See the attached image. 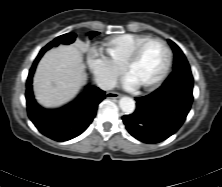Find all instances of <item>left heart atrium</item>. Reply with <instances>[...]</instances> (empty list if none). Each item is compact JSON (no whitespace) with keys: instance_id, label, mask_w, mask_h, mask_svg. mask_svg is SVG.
I'll return each mask as SVG.
<instances>
[{"instance_id":"1","label":"left heart atrium","mask_w":222,"mask_h":187,"mask_svg":"<svg viewBox=\"0 0 222 187\" xmlns=\"http://www.w3.org/2000/svg\"><path fill=\"white\" fill-rule=\"evenodd\" d=\"M126 84H127L128 86L136 85V83H135L130 77H128Z\"/></svg>"}]
</instances>
